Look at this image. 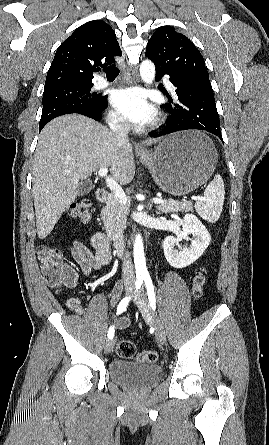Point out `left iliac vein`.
Here are the masks:
<instances>
[{
	"mask_svg": "<svg viewBox=\"0 0 269 445\" xmlns=\"http://www.w3.org/2000/svg\"><path fill=\"white\" fill-rule=\"evenodd\" d=\"M133 302L139 308L144 320L154 327L156 339L160 343L164 344L166 341L164 326L159 317L152 311L143 290H140L139 293L133 298Z\"/></svg>",
	"mask_w": 269,
	"mask_h": 445,
	"instance_id": "1",
	"label": "left iliac vein"
}]
</instances>
